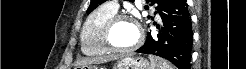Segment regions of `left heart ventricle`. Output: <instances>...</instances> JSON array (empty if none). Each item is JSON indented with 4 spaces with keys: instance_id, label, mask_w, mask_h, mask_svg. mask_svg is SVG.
<instances>
[{
    "instance_id": "b2bd125f",
    "label": "left heart ventricle",
    "mask_w": 246,
    "mask_h": 69,
    "mask_svg": "<svg viewBox=\"0 0 246 69\" xmlns=\"http://www.w3.org/2000/svg\"><path fill=\"white\" fill-rule=\"evenodd\" d=\"M138 37L135 24L128 20L117 23L111 35V42L115 47L127 48L132 46Z\"/></svg>"
}]
</instances>
